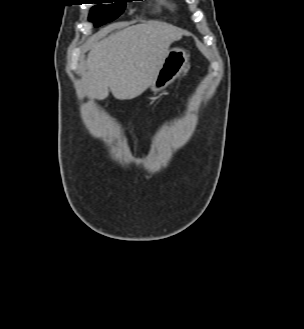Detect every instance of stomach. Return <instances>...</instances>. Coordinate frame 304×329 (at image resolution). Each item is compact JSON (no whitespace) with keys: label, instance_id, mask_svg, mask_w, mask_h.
Masks as SVG:
<instances>
[{"label":"stomach","instance_id":"obj_1","mask_svg":"<svg viewBox=\"0 0 304 329\" xmlns=\"http://www.w3.org/2000/svg\"><path fill=\"white\" fill-rule=\"evenodd\" d=\"M189 54L182 48H171L168 50L153 83L151 91L155 94L164 90L186 69Z\"/></svg>","mask_w":304,"mask_h":329}]
</instances>
